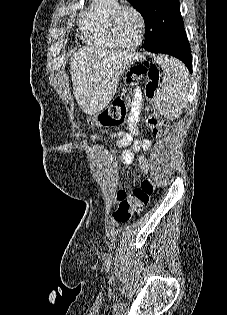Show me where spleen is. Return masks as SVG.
<instances>
[{"label": "spleen", "mask_w": 227, "mask_h": 315, "mask_svg": "<svg viewBox=\"0 0 227 315\" xmlns=\"http://www.w3.org/2000/svg\"><path fill=\"white\" fill-rule=\"evenodd\" d=\"M164 70L161 88L157 91L155 104L167 118H176L182 112L188 91V74L176 60L164 55L154 57Z\"/></svg>", "instance_id": "spleen-1"}]
</instances>
